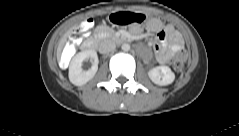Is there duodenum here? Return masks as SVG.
<instances>
[{"mask_svg":"<svg viewBox=\"0 0 239 136\" xmlns=\"http://www.w3.org/2000/svg\"><path fill=\"white\" fill-rule=\"evenodd\" d=\"M117 41L121 44L126 42V40L123 38H117ZM95 45H96L95 40L90 38L83 42L82 48L86 51H90V50H94Z\"/></svg>","mask_w":239,"mask_h":136,"instance_id":"duodenum-1","label":"duodenum"}]
</instances>
